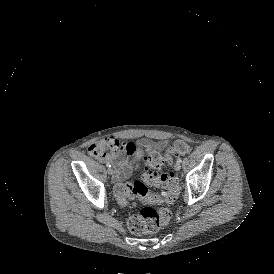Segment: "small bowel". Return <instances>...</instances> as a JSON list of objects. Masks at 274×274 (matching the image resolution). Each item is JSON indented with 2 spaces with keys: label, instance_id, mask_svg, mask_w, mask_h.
Returning <instances> with one entry per match:
<instances>
[{
  "label": "small bowel",
  "instance_id": "small-bowel-1",
  "mask_svg": "<svg viewBox=\"0 0 274 274\" xmlns=\"http://www.w3.org/2000/svg\"><path fill=\"white\" fill-rule=\"evenodd\" d=\"M166 141H153L143 138L138 142H120L115 138L101 139L88 148V153L95 159L111 164L114 168V180L121 182L131 176L137 169L133 158L139 155L141 158L160 151V145Z\"/></svg>",
  "mask_w": 274,
  "mask_h": 274
}]
</instances>
